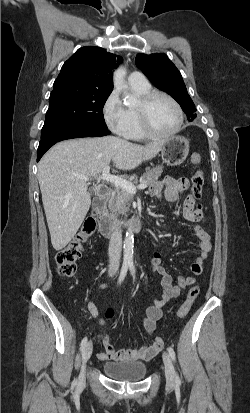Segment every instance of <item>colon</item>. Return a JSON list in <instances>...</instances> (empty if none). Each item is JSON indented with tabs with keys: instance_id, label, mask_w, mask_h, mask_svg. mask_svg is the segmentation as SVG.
Instances as JSON below:
<instances>
[{
	"instance_id": "5ec220e1",
	"label": "colon",
	"mask_w": 250,
	"mask_h": 413,
	"mask_svg": "<svg viewBox=\"0 0 250 413\" xmlns=\"http://www.w3.org/2000/svg\"><path fill=\"white\" fill-rule=\"evenodd\" d=\"M190 160L191 163L197 167V170L195 171L191 179V197L196 200L200 198L204 185V175L202 170L199 168L202 158L200 154L193 153ZM95 230V218L89 217L83 224L80 232L65 247L57 252L55 261L60 276L65 278L74 276V274L76 273V261L81 257L84 244L94 234ZM199 292V285H194L193 287H191L186 300L177 312L178 318L183 319L188 314L194 301L198 297ZM105 316L106 318L113 317V311L108 310ZM152 345L156 349L161 350L164 346V341L162 338L156 337Z\"/></svg>"
}]
</instances>
